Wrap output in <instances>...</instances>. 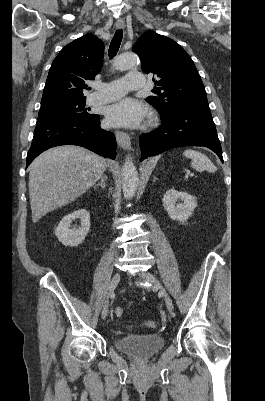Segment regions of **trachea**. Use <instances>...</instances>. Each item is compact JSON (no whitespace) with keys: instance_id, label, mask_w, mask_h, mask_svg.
I'll list each match as a JSON object with an SVG mask.
<instances>
[{"instance_id":"3493384b","label":"trachea","mask_w":265,"mask_h":401,"mask_svg":"<svg viewBox=\"0 0 265 401\" xmlns=\"http://www.w3.org/2000/svg\"><path fill=\"white\" fill-rule=\"evenodd\" d=\"M122 38H123V31L117 30L115 32L114 37L112 38V41L109 46V57L110 58H113L117 54L120 44L122 42Z\"/></svg>"}]
</instances>
